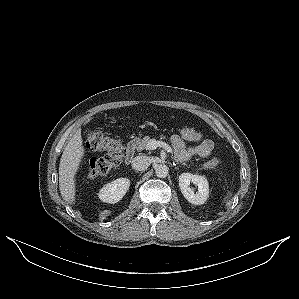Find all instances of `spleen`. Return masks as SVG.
I'll use <instances>...</instances> for the list:
<instances>
[{"mask_svg": "<svg viewBox=\"0 0 299 299\" xmlns=\"http://www.w3.org/2000/svg\"><path fill=\"white\" fill-rule=\"evenodd\" d=\"M231 197H232V194H231V193H229V194L225 197L224 201H225L226 205L229 204V199H230Z\"/></svg>", "mask_w": 299, "mask_h": 299, "instance_id": "spleen-1", "label": "spleen"}]
</instances>
